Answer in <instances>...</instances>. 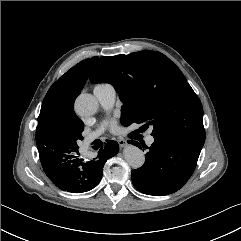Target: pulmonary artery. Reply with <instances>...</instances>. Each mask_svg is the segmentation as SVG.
I'll return each instance as SVG.
<instances>
[{
    "label": "pulmonary artery",
    "instance_id": "e3ab8cb5",
    "mask_svg": "<svg viewBox=\"0 0 241 241\" xmlns=\"http://www.w3.org/2000/svg\"><path fill=\"white\" fill-rule=\"evenodd\" d=\"M93 92L103 109L107 111L112 109L116 99V91L113 86L109 84H99L94 87ZM101 132H102L101 130H97L91 133L88 136L87 140L92 141L96 139L101 134ZM146 142L148 145L153 144L154 142L153 136L148 135L146 138Z\"/></svg>",
    "mask_w": 241,
    "mask_h": 241
}]
</instances>
